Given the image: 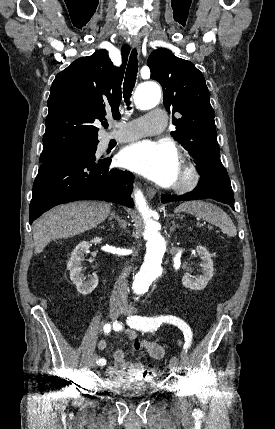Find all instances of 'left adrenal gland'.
Masks as SVG:
<instances>
[{
  "instance_id": "left-adrenal-gland-1",
  "label": "left adrenal gland",
  "mask_w": 275,
  "mask_h": 429,
  "mask_svg": "<svg viewBox=\"0 0 275 429\" xmlns=\"http://www.w3.org/2000/svg\"><path fill=\"white\" fill-rule=\"evenodd\" d=\"M179 226L175 224L174 221H172V227L170 228V231L173 232L175 228H178Z\"/></svg>"
}]
</instances>
